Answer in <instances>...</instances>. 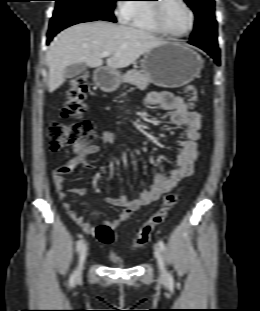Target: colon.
Instances as JSON below:
<instances>
[{
  "label": "colon",
  "instance_id": "5ec220e1",
  "mask_svg": "<svg viewBox=\"0 0 260 311\" xmlns=\"http://www.w3.org/2000/svg\"><path fill=\"white\" fill-rule=\"evenodd\" d=\"M88 88V79L85 75H79L71 80L66 91V101L60 111V119H55L49 126V150L58 152L67 147H87L92 145L96 138L93 124L89 120H79L67 123L64 119L81 117L86 106L84 96ZM185 96L193 107L198 100V91L194 85L185 88ZM180 191L170 192L165 195L159 210L146 221L139 229L133 240V248H141L146 245L154 228L165 221L169 211L177 204ZM94 235L103 244H111L114 239V229L107 223L98 225Z\"/></svg>",
  "mask_w": 260,
  "mask_h": 311
}]
</instances>
